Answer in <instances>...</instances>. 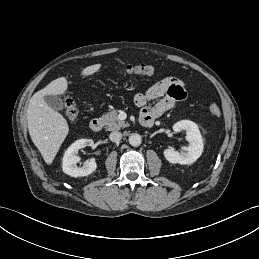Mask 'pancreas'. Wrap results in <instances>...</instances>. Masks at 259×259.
I'll list each match as a JSON object with an SVG mask.
<instances>
[{"mask_svg":"<svg viewBox=\"0 0 259 259\" xmlns=\"http://www.w3.org/2000/svg\"><path fill=\"white\" fill-rule=\"evenodd\" d=\"M100 119L105 123L109 131L120 130L129 126L128 123H125V121L119 119L118 113L116 111L106 113L102 115Z\"/></svg>","mask_w":259,"mask_h":259,"instance_id":"cf45deb5","label":"pancreas"}]
</instances>
